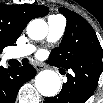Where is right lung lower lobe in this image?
I'll use <instances>...</instances> for the list:
<instances>
[{
	"instance_id": "98d812e1",
	"label": "right lung lower lobe",
	"mask_w": 103,
	"mask_h": 103,
	"mask_svg": "<svg viewBox=\"0 0 103 103\" xmlns=\"http://www.w3.org/2000/svg\"><path fill=\"white\" fill-rule=\"evenodd\" d=\"M35 75L36 70L28 62L17 68L0 66V103H14L20 87Z\"/></svg>"
}]
</instances>
